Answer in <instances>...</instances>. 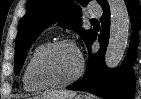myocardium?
<instances>
[{
    "label": "myocardium",
    "instance_id": "1",
    "mask_svg": "<svg viewBox=\"0 0 141 99\" xmlns=\"http://www.w3.org/2000/svg\"><path fill=\"white\" fill-rule=\"evenodd\" d=\"M73 47L74 49H77L75 44L72 41L69 40H58L51 43H48L45 45L33 58L30 69H29V76L32 80V82L38 86L45 87V88H57V87H63L67 86L76 80H78L83 72H84V61L80 53H78L79 56V68L77 72L70 78L62 81H48L41 79L37 74V65L40 62V60L48 54L50 51L57 49L59 47Z\"/></svg>",
    "mask_w": 141,
    "mask_h": 99
}]
</instances>
